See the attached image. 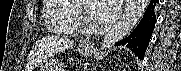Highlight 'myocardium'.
Listing matches in <instances>:
<instances>
[{"label": "myocardium", "instance_id": "myocardium-1", "mask_svg": "<svg viewBox=\"0 0 181 71\" xmlns=\"http://www.w3.org/2000/svg\"><path fill=\"white\" fill-rule=\"evenodd\" d=\"M88 5L87 4H78L77 9L82 12L83 19H84V30L87 32H92L95 29V25L92 24L89 19L90 15L88 12Z\"/></svg>", "mask_w": 181, "mask_h": 71}]
</instances>
